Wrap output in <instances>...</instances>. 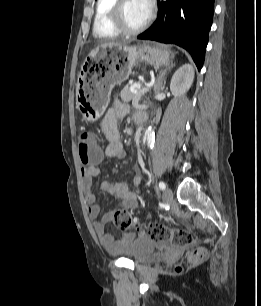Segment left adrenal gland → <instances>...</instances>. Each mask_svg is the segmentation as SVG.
Returning a JSON list of instances; mask_svg holds the SVG:
<instances>
[{
  "label": "left adrenal gland",
  "mask_w": 261,
  "mask_h": 306,
  "mask_svg": "<svg viewBox=\"0 0 261 306\" xmlns=\"http://www.w3.org/2000/svg\"><path fill=\"white\" fill-rule=\"evenodd\" d=\"M175 64L167 65L164 69L159 72L156 80L155 89L156 91L163 90L166 84V74L174 67Z\"/></svg>",
  "instance_id": "1"
}]
</instances>
